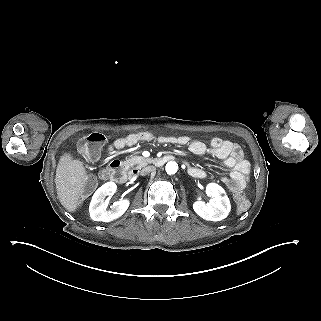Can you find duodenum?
Wrapping results in <instances>:
<instances>
[{"label":"duodenum","instance_id":"duodenum-1","mask_svg":"<svg viewBox=\"0 0 321 321\" xmlns=\"http://www.w3.org/2000/svg\"><path fill=\"white\" fill-rule=\"evenodd\" d=\"M173 160V156L171 155H164L160 158H158L155 162L157 166H162L166 164L167 162ZM108 175L111 180L118 182V183H124L128 178V173L124 167V165L120 161H113L109 167H108Z\"/></svg>","mask_w":321,"mask_h":321}]
</instances>
